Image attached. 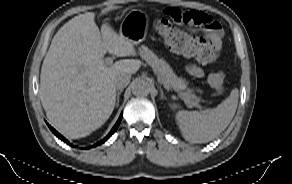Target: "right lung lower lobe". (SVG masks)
Listing matches in <instances>:
<instances>
[{"mask_svg":"<svg viewBox=\"0 0 292 184\" xmlns=\"http://www.w3.org/2000/svg\"><path fill=\"white\" fill-rule=\"evenodd\" d=\"M121 119H122V114L120 115V117H119V119H118V121L116 122V124L114 125V127L112 128V130H111V132L104 138V139H102L101 141H99L98 143H96V144H94V145H92V146H90L91 148L92 147H95V146H98V145H100V144H102V143H104L107 139H109L112 135H113V133L117 130V128L119 127V125H120V122H121ZM48 126H49V128L51 129V131L59 138V139H61L63 142H65V143H67V144H69V142L62 136V135H60L55 129H53L49 124H48ZM70 145H72V144H70Z\"/></svg>","mask_w":292,"mask_h":184,"instance_id":"98d812e1","label":"right lung lower lobe"}]
</instances>
